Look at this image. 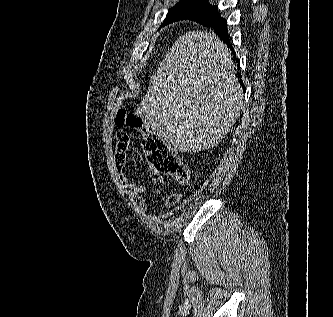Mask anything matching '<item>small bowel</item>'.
I'll list each match as a JSON object with an SVG mask.
<instances>
[{"instance_id": "small-bowel-1", "label": "small bowel", "mask_w": 333, "mask_h": 317, "mask_svg": "<svg viewBox=\"0 0 333 317\" xmlns=\"http://www.w3.org/2000/svg\"><path fill=\"white\" fill-rule=\"evenodd\" d=\"M129 136L126 133L120 132L114 138V142L116 145V152L114 157L115 168L118 172L119 180L131 200V202L135 205V207L139 211H146L147 205L143 199V194L146 190L144 185L136 184L129 182L128 179L123 174V168L127 159V150L129 146ZM157 178L160 182H163L161 176L157 175ZM180 194L171 193L167 196L166 203L168 206H174L180 200Z\"/></svg>"}]
</instances>
